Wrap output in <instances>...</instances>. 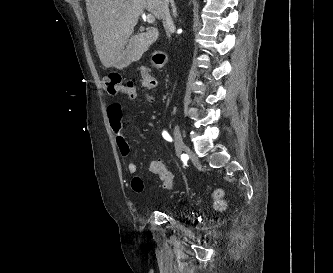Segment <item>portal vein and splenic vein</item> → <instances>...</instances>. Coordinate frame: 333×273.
<instances>
[{"mask_svg":"<svg viewBox=\"0 0 333 273\" xmlns=\"http://www.w3.org/2000/svg\"><path fill=\"white\" fill-rule=\"evenodd\" d=\"M145 20L149 23V24H153L155 22V17L152 14H147L145 16Z\"/></svg>","mask_w":333,"mask_h":273,"instance_id":"obj_1","label":"portal vein and splenic vein"}]
</instances>
